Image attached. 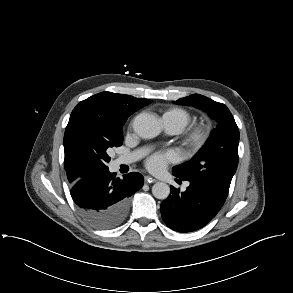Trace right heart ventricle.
<instances>
[{"instance_id": "e07e8e85", "label": "right heart ventricle", "mask_w": 293, "mask_h": 293, "mask_svg": "<svg viewBox=\"0 0 293 293\" xmlns=\"http://www.w3.org/2000/svg\"><path fill=\"white\" fill-rule=\"evenodd\" d=\"M163 119L169 120L177 133H179L193 120V114L185 108L172 107L163 112Z\"/></svg>"}]
</instances>
